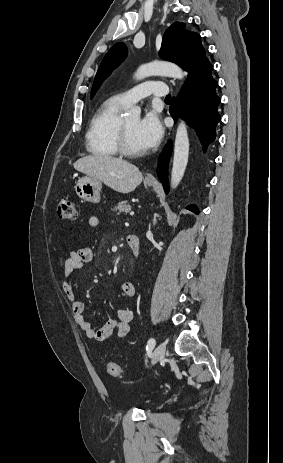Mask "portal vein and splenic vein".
Here are the masks:
<instances>
[{
  "label": "portal vein and splenic vein",
  "mask_w": 283,
  "mask_h": 463,
  "mask_svg": "<svg viewBox=\"0 0 283 463\" xmlns=\"http://www.w3.org/2000/svg\"><path fill=\"white\" fill-rule=\"evenodd\" d=\"M130 215H134V211H131V212H130Z\"/></svg>",
  "instance_id": "1"
}]
</instances>
